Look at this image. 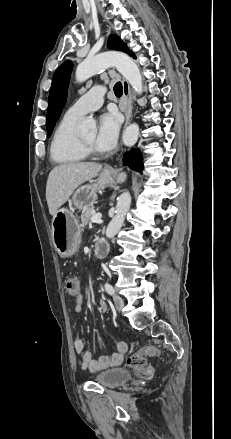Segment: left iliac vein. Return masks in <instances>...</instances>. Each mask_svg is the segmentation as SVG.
Here are the masks:
<instances>
[{"label": "left iliac vein", "mask_w": 231, "mask_h": 439, "mask_svg": "<svg viewBox=\"0 0 231 439\" xmlns=\"http://www.w3.org/2000/svg\"><path fill=\"white\" fill-rule=\"evenodd\" d=\"M113 301L117 310L121 311V309L124 307V300L120 296L114 295Z\"/></svg>", "instance_id": "1"}]
</instances>
